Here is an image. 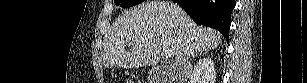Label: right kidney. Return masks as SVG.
Returning a JSON list of instances; mask_svg holds the SVG:
<instances>
[{
    "label": "right kidney",
    "instance_id": "1",
    "mask_svg": "<svg viewBox=\"0 0 307 83\" xmlns=\"http://www.w3.org/2000/svg\"><path fill=\"white\" fill-rule=\"evenodd\" d=\"M216 72L212 58L199 60L192 72L190 83H215Z\"/></svg>",
    "mask_w": 307,
    "mask_h": 83
}]
</instances>
